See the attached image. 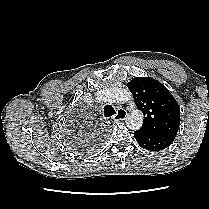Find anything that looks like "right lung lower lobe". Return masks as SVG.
Listing matches in <instances>:
<instances>
[{
	"instance_id": "1",
	"label": "right lung lower lobe",
	"mask_w": 209,
	"mask_h": 209,
	"mask_svg": "<svg viewBox=\"0 0 209 209\" xmlns=\"http://www.w3.org/2000/svg\"><path fill=\"white\" fill-rule=\"evenodd\" d=\"M100 141H96V140H91L88 142H79L76 143L75 145V149L78 152H90V151H94L98 145H99Z\"/></svg>"
}]
</instances>
